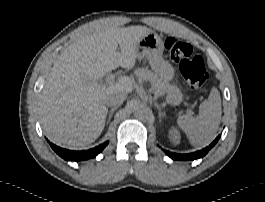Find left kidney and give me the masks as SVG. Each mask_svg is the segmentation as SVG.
I'll list each match as a JSON object with an SVG mask.
<instances>
[{"mask_svg":"<svg viewBox=\"0 0 265 202\" xmlns=\"http://www.w3.org/2000/svg\"><path fill=\"white\" fill-rule=\"evenodd\" d=\"M169 138L172 141V143H174L176 145L179 144L180 140H181V136H180L179 131L176 128L172 127L169 130Z\"/></svg>","mask_w":265,"mask_h":202,"instance_id":"left-kidney-1","label":"left kidney"}]
</instances>
